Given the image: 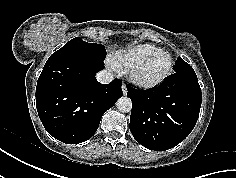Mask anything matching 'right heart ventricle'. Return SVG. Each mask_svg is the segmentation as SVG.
<instances>
[{
	"label": "right heart ventricle",
	"mask_w": 236,
	"mask_h": 178,
	"mask_svg": "<svg viewBox=\"0 0 236 178\" xmlns=\"http://www.w3.org/2000/svg\"><path fill=\"white\" fill-rule=\"evenodd\" d=\"M159 51H162V49L152 44H138L116 53L111 62L116 68L127 72L138 61Z\"/></svg>",
	"instance_id": "e07e8e85"
}]
</instances>
